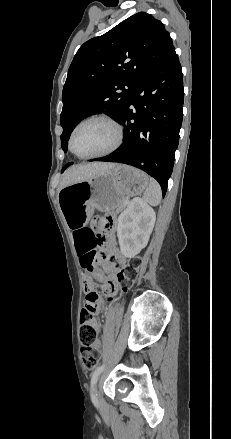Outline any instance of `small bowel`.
<instances>
[{
    "instance_id": "obj_1",
    "label": "small bowel",
    "mask_w": 231,
    "mask_h": 439,
    "mask_svg": "<svg viewBox=\"0 0 231 439\" xmlns=\"http://www.w3.org/2000/svg\"><path fill=\"white\" fill-rule=\"evenodd\" d=\"M73 240L77 256L80 263L82 258L90 253L97 252L104 256L105 264L104 271L107 276H103V292L105 294H111L116 289V280L113 274L117 270V265L122 264L123 259L118 255L116 248L112 244L113 234L110 233L106 241H96L93 231L87 227H73ZM100 230L101 228L98 227ZM115 260V262H111ZM94 281L90 277H86L84 281V288L86 291V300L84 308L93 309L96 314L102 312L103 302L100 300L97 293L94 291ZM102 342L98 340L95 343V348L100 350Z\"/></svg>"
}]
</instances>
